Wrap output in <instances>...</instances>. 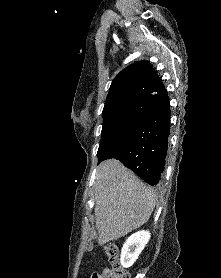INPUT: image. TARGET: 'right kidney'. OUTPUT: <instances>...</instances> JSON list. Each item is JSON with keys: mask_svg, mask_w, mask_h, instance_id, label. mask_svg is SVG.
<instances>
[{"mask_svg": "<svg viewBox=\"0 0 221 278\" xmlns=\"http://www.w3.org/2000/svg\"><path fill=\"white\" fill-rule=\"evenodd\" d=\"M150 239L148 231H139L131 235L124 243L121 250V265L125 268L131 267Z\"/></svg>", "mask_w": 221, "mask_h": 278, "instance_id": "obj_1", "label": "right kidney"}]
</instances>
